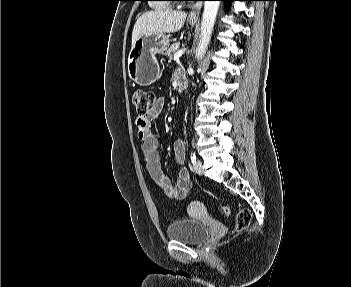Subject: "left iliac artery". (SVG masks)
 <instances>
[{"mask_svg":"<svg viewBox=\"0 0 351 287\" xmlns=\"http://www.w3.org/2000/svg\"><path fill=\"white\" fill-rule=\"evenodd\" d=\"M190 159H191V162L194 164V162H196V155L195 153L191 152L190 153Z\"/></svg>","mask_w":351,"mask_h":287,"instance_id":"left-iliac-artery-1","label":"left iliac artery"}]
</instances>
